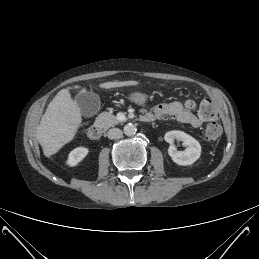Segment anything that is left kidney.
<instances>
[{
	"mask_svg": "<svg viewBox=\"0 0 259 259\" xmlns=\"http://www.w3.org/2000/svg\"><path fill=\"white\" fill-rule=\"evenodd\" d=\"M164 139L170 144L168 153L176 164L187 166L199 159L201 155V145L192 136L183 131L172 130L165 134ZM175 139L182 141L187 148L184 151H178L173 144Z\"/></svg>",
	"mask_w": 259,
	"mask_h": 259,
	"instance_id": "obj_1",
	"label": "left kidney"
}]
</instances>
